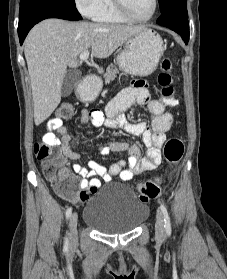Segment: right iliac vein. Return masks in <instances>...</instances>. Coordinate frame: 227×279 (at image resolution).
Returning <instances> with one entry per match:
<instances>
[{"label":"right iliac vein","mask_w":227,"mask_h":279,"mask_svg":"<svg viewBox=\"0 0 227 279\" xmlns=\"http://www.w3.org/2000/svg\"><path fill=\"white\" fill-rule=\"evenodd\" d=\"M77 223L78 215L76 212H74L69 219L70 238L72 243L76 242L77 240Z\"/></svg>","instance_id":"obj_1"}]
</instances>
